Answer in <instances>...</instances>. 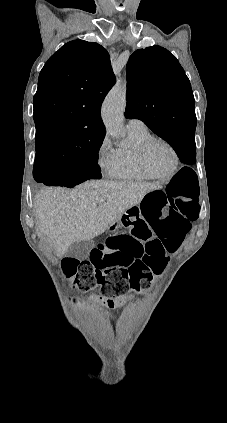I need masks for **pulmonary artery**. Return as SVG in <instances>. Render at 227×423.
<instances>
[{"mask_svg": "<svg viewBox=\"0 0 227 423\" xmlns=\"http://www.w3.org/2000/svg\"><path fill=\"white\" fill-rule=\"evenodd\" d=\"M126 128L129 129H144L145 124L139 119H130L127 121Z\"/></svg>", "mask_w": 227, "mask_h": 423, "instance_id": "e3ab8cb5", "label": "pulmonary artery"}]
</instances>
